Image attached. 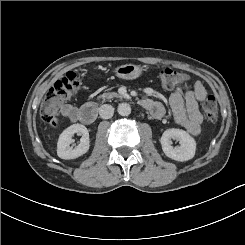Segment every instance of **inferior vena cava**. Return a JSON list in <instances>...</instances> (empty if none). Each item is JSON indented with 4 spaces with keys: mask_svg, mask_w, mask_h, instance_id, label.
Listing matches in <instances>:
<instances>
[{
    "mask_svg": "<svg viewBox=\"0 0 245 245\" xmlns=\"http://www.w3.org/2000/svg\"><path fill=\"white\" fill-rule=\"evenodd\" d=\"M113 114H114V109L111 105L104 104L99 109V115L104 120L112 118Z\"/></svg>",
    "mask_w": 245,
    "mask_h": 245,
    "instance_id": "obj_1",
    "label": "inferior vena cava"
}]
</instances>
